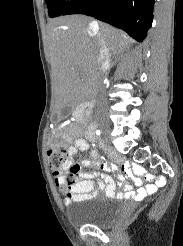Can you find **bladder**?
<instances>
[{
  "label": "bladder",
  "mask_w": 183,
  "mask_h": 246,
  "mask_svg": "<svg viewBox=\"0 0 183 246\" xmlns=\"http://www.w3.org/2000/svg\"><path fill=\"white\" fill-rule=\"evenodd\" d=\"M121 211L118 200L107 197H95L88 204L87 208L72 215L75 225H93L103 227L109 225Z\"/></svg>",
  "instance_id": "bladder-1"
}]
</instances>
